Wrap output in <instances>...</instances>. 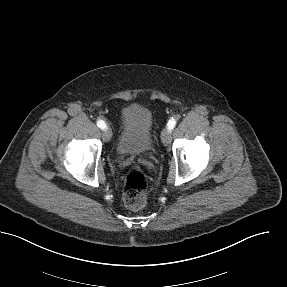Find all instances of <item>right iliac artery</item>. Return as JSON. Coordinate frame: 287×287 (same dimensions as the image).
Here are the masks:
<instances>
[{
	"label": "right iliac artery",
	"mask_w": 287,
	"mask_h": 287,
	"mask_svg": "<svg viewBox=\"0 0 287 287\" xmlns=\"http://www.w3.org/2000/svg\"><path fill=\"white\" fill-rule=\"evenodd\" d=\"M97 126L99 127V128H101L102 130L103 129H106V124H105V122L103 121V120H98L97 121Z\"/></svg>",
	"instance_id": "82829eb1"
}]
</instances>
